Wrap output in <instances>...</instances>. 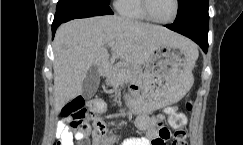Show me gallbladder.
Segmentation results:
<instances>
[{"label":"gallbladder","mask_w":243,"mask_h":145,"mask_svg":"<svg viewBox=\"0 0 243 145\" xmlns=\"http://www.w3.org/2000/svg\"><path fill=\"white\" fill-rule=\"evenodd\" d=\"M100 75L97 66H92L87 72L83 85L82 95L84 98L89 99L95 95L99 87Z\"/></svg>","instance_id":"gallbladder-1"}]
</instances>
